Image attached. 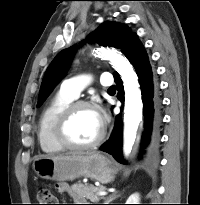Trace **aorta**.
<instances>
[{
  "label": "aorta",
  "instance_id": "aorta-1",
  "mask_svg": "<svg viewBox=\"0 0 200 205\" xmlns=\"http://www.w3.org/2000/svg\"><path fill=\"white\" fill-rule=\"evenodd\" d=\"M96 56L110 61L120 74L125 91L124 107V152L127 153L135 140L139 123L142 121V98L138 77L129 61L117 50L99 48Z\"/></svg>",
  "mask_w": 200,
  "mask_h": 205
}]
</instances>
